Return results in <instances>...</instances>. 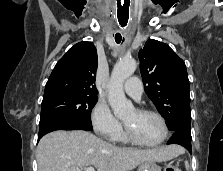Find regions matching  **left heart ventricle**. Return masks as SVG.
<instances>
[{
	"instance_id": "1",
	"label": "left heart ventricle",
	"mask_w": 223,
	"mask_h": 171,
	"mask_svg": "<svg viewBox=\"0 0 223 171\" xmlns=\"http://www.w3.org/2000/svg\"><path fill=\"white\" fill-rule=\"evenodd\" d=\"M123 122L136 138L145 143H155L163 135V127L157 117L139 114L135 109L123 117Z\"/></svg>"
}]
</instances>
